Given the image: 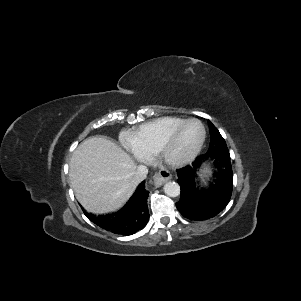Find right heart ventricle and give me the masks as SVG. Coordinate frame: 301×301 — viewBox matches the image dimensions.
<instances>
[{"instance_id":"1","label":"right heart ventricle","mask_w":301,"mask_h":301,"mask_svg":"<svg viewBox=\"0 0 301 301\" xmlns=\"http://www.w3.org/2000/svg\"><path fill=\"white\" fill-rule=\"evenodd\" d=\"M184 120L174 116L157 118L128 132L127 139L137 151L152 156L157 154L163 137Z\"/></svg>"}]
</instances>
